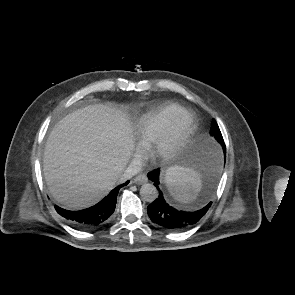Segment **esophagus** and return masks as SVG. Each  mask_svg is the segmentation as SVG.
I'll list each match as a JSON object with an SVG mask.
<instances>
[{
  "mask_svg": "<svg viewBox=\"0 0 295 295\" xmlns=\"http://www.w3.org/2000/svg\"><path fill=\"white\" fill-rule=\"evenodd\" d=\"M134 181L138 184H142L147 181L146 174H139L134 178Z\"/></svg>",
  "mask_w": 295,
  "mask_h": 295,
  "instance_id": "1",
  "label": "esophagus"
}]
</instances>
